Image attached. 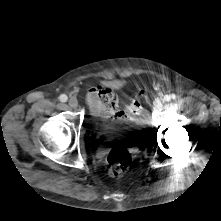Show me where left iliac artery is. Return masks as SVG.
<instances>
[{"instance_id": "1", "label": "left iliac artery", "mask_w": 221, "mask_h": 221, "mask_svg": "<svg viewBox=\"0 0 221 221\" xmlns=\"http://www.w3.org/2000/svg\"><path fill=\"white\" fill-rule=\"evenodd\" d=\"M177 98V96L175 94H171V95H165L164 96V100L165 101H170V100H175Z\"/></svg>"}]
</instances>
